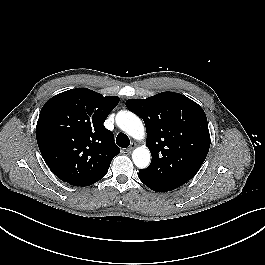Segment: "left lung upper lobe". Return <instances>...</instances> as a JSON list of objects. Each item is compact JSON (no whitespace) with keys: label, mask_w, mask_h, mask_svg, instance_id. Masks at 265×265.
I'll list each match as a JSON object with an SVG mask.
<instances>
[{"label":"left lung upper lobe","mask_w":265,"mask_h":265,"mask_svg":"<svg viewBox=\"0 0 265 265\" xmlns=\"http://www.w3.org/2000/svg\"><path fill=\"white\" fill-rule=\"evenodd\" d=\"M126 107L143 119L152 155L149 167L139 172L175 189L193 178L210 147L203 109L174 92H162L147 99H128Z\"/></svg>","instance_id":"left-lung-upper-lobe-1"}]
</instances>
